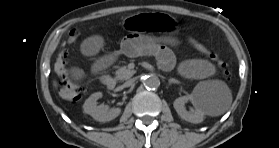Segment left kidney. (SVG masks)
Wrapping results in <instances>:
<instances>
[{
	"label": "left kidney",
	"mask_w": 279,
	"mask_h": 148,
	"mask_svg": "<svg viewBox=\"0 0 279 148\" xmlns=\"http://www.w3.org/2000/svg\"><path fill=\"white\" fill-rule=\"evenodd\" d=\"M189 100L193 104L194 109L187 111L185 108V103ZM173 106L182 119L191 123H201L203 121L204 115L207 113L204 102L195 92V90L190 95L181 96L175 99Z\"/></svg>",
	"instance_id": "left-kidney-1"
}]
</instances>
